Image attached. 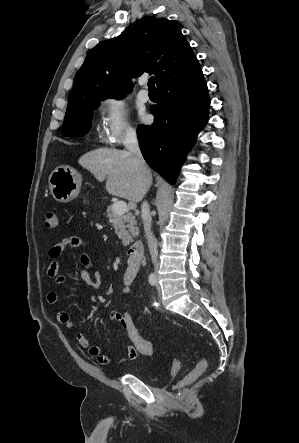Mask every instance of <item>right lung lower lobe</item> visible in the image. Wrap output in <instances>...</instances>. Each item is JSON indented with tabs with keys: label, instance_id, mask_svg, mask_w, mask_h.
Instances as JSON below:
<instances>
[{
	"label": "right lung lower lobe",
	"instance_id": "1",
	"mask_svg": "<svg viewBox=\"0 0 299 443\" xmlns=\"http://www.w3.org/2000/svg\"><path fill=\"white\" fill-rule=\"evenodd\" d=\"M159 101L151 106V126L137 129L139 145L147 163L174 184L187 151L207 121L210 106L201 68L158 86Z\"/></svg>",
	"mask_w": 299,
	"mask_h": 443
}]
</instances>
